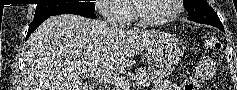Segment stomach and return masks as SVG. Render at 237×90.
<instances>
[{
    "label": "stomach",
    "instance_id": "stomach-1",
    "mask_svg": "<svg viewBox=\"0 0 237 90\" xmlns=\"http://www.w3.org/2000/svg\"><path fill=\"white\" fill-rule=\"evenodd\" d=\"M146 50L151 62L160 67L172 66L179 60L182 53L177 45L158 39Z\"/></svg>",
    "mask_w": 237,
    "mask_h": 90
}]
</instances>
